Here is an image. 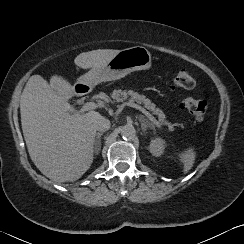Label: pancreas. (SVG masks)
Listing matches in <instances>:
<instances>
[{
	"label": "pancreas",
	"mask_w": 244,
	"mask_h": 244,
	"mask_svg": "<svg viewBox=\"0 0 244 244\" xmlns=\"http://www.w3.org/2000/svg\"><path fill=\"white\" fill-rule=\"evenodd\" d=\"M111 97L116 102H123L125 100H129L131 102H137L143 104L147 109H150L154 114L158 115L159 122L161 124H168L169 129L172 130L173 127L171 124L166 122L165 118L166 115L163 113L162 110L156 107L154 103H152L149 99L145 96L140 95L138 92H134L132 90H114L111 94Z\"/></svg>",
	"instance_id": "cf45deb5"
}]
</instances>
